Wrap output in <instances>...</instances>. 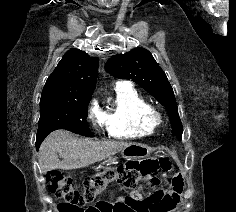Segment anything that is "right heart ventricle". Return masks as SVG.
<instances>
[{"mask_svg": "<svg viewBox=\"0 0 236 212\" xmlns=\"http://www.w3.org/2000/svg\"><path fill=\"white\" fill-rule=\"evenodd\" d=\"M113 107L103 112L104 127L115 139H134L151 135L155 126L148 120L151 107L147 99L132 85L117 83Z\"/></svg>", "mask_w": 236, "mask_h": 212, "instance_id": "e07e8e85", "label": "right heart ventricle"}]
</instances>
